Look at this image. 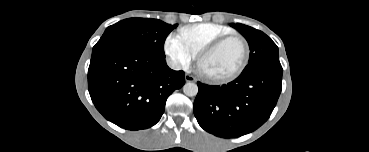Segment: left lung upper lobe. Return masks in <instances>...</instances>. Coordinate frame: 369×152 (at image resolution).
<instances>
[{
  "label": "left lung upper lobe",
  "mask_w": 369,
  "mask_h": 152,
  "mask_svg": "<svg viewBox=\"0 0 369 152\" xmlns=\"http://www.w3.org/2000/svg\"><path fill=\"white\" fill-rule=\"evenodd\" d=\"M231 26L246 38L250 47L249 63L241 74L247 75L261 69H282L278 47L266 34L239 23Z\"/></svg>",
  "instance_id": "5c2ea615"
}]
</instances>
